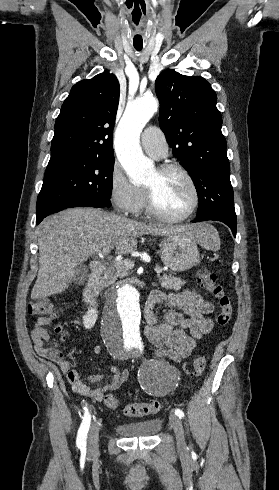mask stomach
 <instances>
[{"label":"stomach","instance_id":"1","mask_svg":"<svg viewBox=\"0 0 279 490\" xmlns=\"http://www.w3.org/2000/svg\"><path fill=\"white\" fill-rule=\"evenodd\" d=\"M160 258L172 274L187 272L200 264L195 238L185 234H166L160 244Z\"/></svg>","mask_w":279,"mask_h":490}]
</instances>
